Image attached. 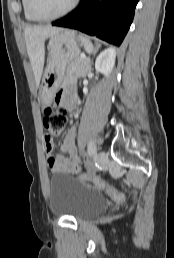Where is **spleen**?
<instances>
[{
  "label": "spleen",
  "mask_w": 174,
  "mask_h": 258,
  "mask_svg": "<svg viewBox=\"0 0 174 258\" xmlns=\"http://www.w3.org/2000/svg\"><path fill=\"white\" fill-rule=\"evenodd\" d=\"M79 39L81 40L82 44L84 45L85 51L88 54L95 53V50L93 48V44L91 43L89 38H87L83 35H79Z\"/></svg>",
  "instance_id": "1"
}]
</instances>
